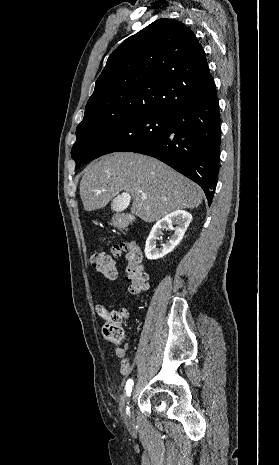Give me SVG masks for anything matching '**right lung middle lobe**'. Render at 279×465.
I'll return each instance as SVG.
<instances>
[{
	"label": "right lung middle lobe",
	"instance_id": "dd1d6c3e",
	"mask_svg": "<svg viewBox=\"0 0 279 465\" xmlns=\"http://www.w3.org/2000/svg\"><path fill=\"white\" fill-rule=\"evenodd\" d=\"M168 122V113L148 112L77 130L71 151L75 169L108 153L145 146L167 129Z\"/></svg>",
	"mask_w": 279,
	"mask_h": 465
}]
</instances>
